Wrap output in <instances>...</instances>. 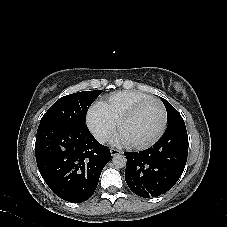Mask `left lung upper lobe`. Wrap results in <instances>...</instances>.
I'll use <instances>...</instances> for the list:
<instances>
[{
	"label": "left lung upper lobe",
	"mask_w": 227,
	"mask_h": 227,
	"mask_svg": "<svg viewBox=\"0 0 227 227\" xmlns=\"http://www.w3.org/2000/svg\"><path fill=\"white\" fill-rule=\"evenodd\" d=\"M162 102L164 103L167 110V124L170 125H180L184 124V120L178 111L164 98L161 97Z\"/></svg>",
	"instance_id": "5c2ea615"
}]
</instances>
